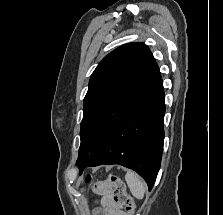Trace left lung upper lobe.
Returning a JSON list of instances; mask_svg holds the SVG:
<instances>
[{"instance_id":"5c2ea615","label":"left lung upper lobe","mask_w":223,"mask_h":215,"mask_svg":"<svg viewBox=\"0 0 223 215\" xmlns=\"http://www.w3.org/2000/svg\"><path fill=\"white\" fill-rule=\"evenodd\" d=\"M159 73L144 43L122 45L103 58L90 77L84 98L78 168L91 160L112 128Z\"/></svg>"}]
</instances>
